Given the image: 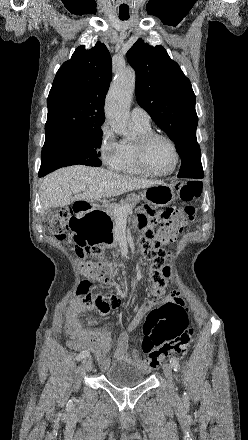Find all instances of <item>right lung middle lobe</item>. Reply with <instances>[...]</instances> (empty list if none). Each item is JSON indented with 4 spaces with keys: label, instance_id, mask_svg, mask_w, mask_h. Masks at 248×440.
I'll list each match as a JSON object with an SVG mask.
<instances>
[{
    "label": "right lung middle lobe",
    "instance_id": "obj_1",
    "mask_svg": "<svg viewBox=\"0 0 248 440\" xmlns=\"http://www.w3.org/2000/svg\"><path fill=\"white\" fill-rule=\"evenodd\" d=\"M101 141V128L79 135L45 140L38 175L44 176L58 168L76 164L101 166L102 162L98 158Z\"/></svg>",
    "mask_w": 248,
    "mask_h": 440
}]
</instances>
